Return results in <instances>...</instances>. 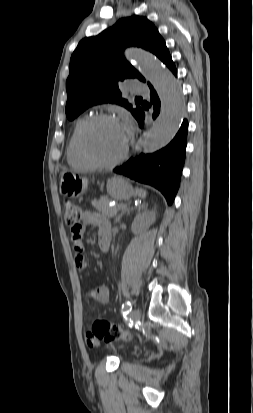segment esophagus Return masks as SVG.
<instances>
[{"label":"esophagus","instance_id":"esophagus-1","mask_svg":"<svg viewBox=\"0 0 253 413\" xmlns=\"http://www.w3.org/2000/svg\"><path fill=\"white\" fill-rule=\"evenodd\" d=\"M139 149H140V145L138 143L137 146H136V150H139Z\"/></svg>","mask_w":253,"mask_h":413}]
</instances>
